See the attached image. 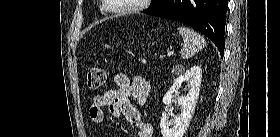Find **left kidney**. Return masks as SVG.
<instances>
[{"label": "left kidney", "instance_id": "obj_1", "mask_svg": "<svg viewBox=\"0 0 280 137\" xmlns=\"http://www.w3.org/2000/svg\"><path fill=\"white\" fill-rule=\"evenodd\" d=\"M202 70L200 66L194 65L190 69L179 74L173 81V85L165 93L163 104L170 105L177 89L183 82L187 83L188 93L185 96H178V105L181 107V114L175 117L171 125L168 123L167 113L163 112L160 121V128L163 137H183L195 109L201 86Z\"/></svg>", "mask_w": 280, "mask_h": 137}]
</instances>
